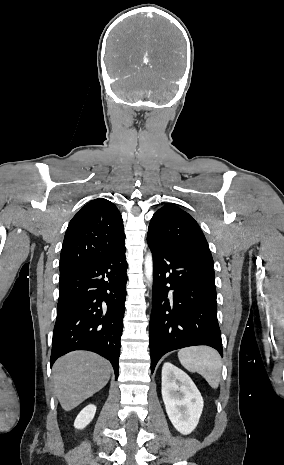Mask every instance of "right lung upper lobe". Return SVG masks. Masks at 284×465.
<instances>
[{
  "label": "right lung upper lobe",
  "mask_w": 284,
  "mask_h": 465,
  "mask_svg": "<svg viewBox=\"0 0 284 465\" xmlns=\"http://www.w3.org/2000/svg\"><path fill=\"white\" fill-rule=\"evenodd\" d=\"M124 244L123 220L117 207L106 199H94L69 223L60 255V274L93 264Z\"/></svg>",
  "instance_id": "obj_1"
}]
</instances>
